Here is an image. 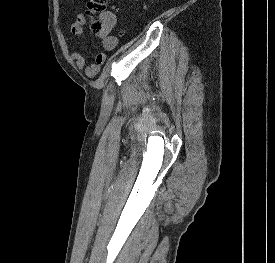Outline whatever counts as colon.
<instances>
[{"mask_svg":"<svg viewBox=\"0 0 275 263\" xmlns=\"http://www.w3.org/2000/svg\"><path fill=\"white\" fill-rule=\"evenodd\" d=\"M106 4L107 0H88L87 10L91 15H96L105 10ZM91 27L98 34H106L108 32L105 18L94 20Z\"/></svg>","mask_w":275,"mask_h":263,"instance_id":"colon-1","label":"colon"}]
</instances>
